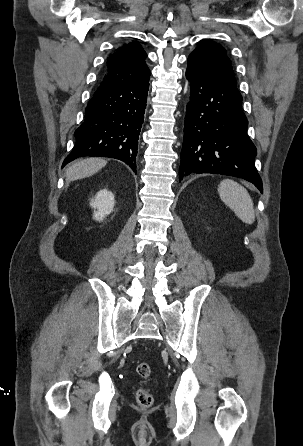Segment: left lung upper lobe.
I'll return each instance as SVG.
<instances>
[{
    "mask_svg": "<svg viewBox=\"0 0 303 446\" xmlns=\"http://www.w3.org/2000/svg\"><path fill=\"white\" fill-rule=\"evenodd\" d=\"M189 58L199 61L208 69L222 75L230 82L236 84L231 60L227 55L226 49L221 45L203 39L200 41L196 49L189 55Z\"/></svg>",
    "mask_w": 303,
    "mask_h": 446,
    "instance_id": "left-lung-upper-lobe-1",
    "label": "left lung upper lobe"
}]
</instances>
